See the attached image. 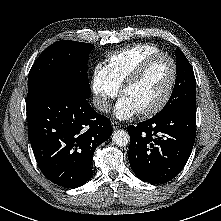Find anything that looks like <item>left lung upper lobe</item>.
Masks as SVG:
<instances>
[{
	"instance_id": "obj_1",
	"label": "left lung upper lobe",
	"mask_w": 221,
	"mask_h": 221,
	"mask_svg": "<svg viewBox=\"0 0 221 221\" xmlns=\"http://www.w3.org/2000/svg\"><path fill=\"white\" fill-rule=\"evenodd\" d=\"M176 70L177 77L173 92L164 108L155 117H163L180 107H196L194 72L179 48L176 49Z\"/></svg>"
}]
</instances>
